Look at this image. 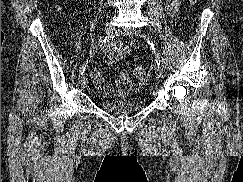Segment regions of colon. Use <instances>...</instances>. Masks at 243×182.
I'll list each match as a JSON object with an SVG mask.
<instances>
[{
	"label": "colon",
	"mask_w": 243,
	"mask_h": 182,
	"mask_svg": "<svg viewBox=\"0 0 243 182\" xmlns=\"http://www.w3.org/2000/svg\"><path fill=\"white\" fill-rule=\"evenodd\" d=\"M197 1L198 0H188V2L191 3V4H194ZM133 75H134L135 78H137L138 80H141V81L146 80V78L148 76L146 69L143 68V67H140V66L135 67L133 69Z\"/></svg>",
	"instance_id": "5ec220e1"
}]
</instances>
